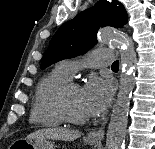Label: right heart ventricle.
Masks as SVG:
<instances>
[{
    "mask_svg": "<svg viewBox=\"0 0 155 149\" xmlns=\"http://www.w3.org/2000/svg\"><path fill=\"white\" fill-rule=\"evenodd\" d=\"M70 79L57 66L38 82L30 112L32 124L57 127L65 122L57 106V93L60 87Z\"/></svg>",
    "mask_w": 155,
    "mask_h": 149,
    "instance_id": "obj_1",
    "label": "right heart ventricle"
}]
</instances>
